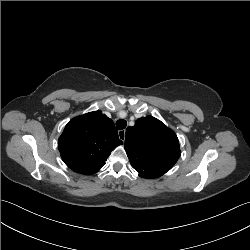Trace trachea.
I'll list each match as a JSON object with an SVG mask.
<instances>
[{"mask_svg":"<svg viewBox=\"0 0 250 250\" xmlns=\"http://www.w3.org/2000/svg\"><path fill=\"white\" fill-rule=\"evenodd\" d=\"M126 125H127V121L126 120H122L121 119V120H118L116 122V127H117L118 130L124 129L126 127Z\"/></svg>","mask_w":250,"mask_h":250,"instance_id":"obj_1","label":"trachea"}]
</instances>
